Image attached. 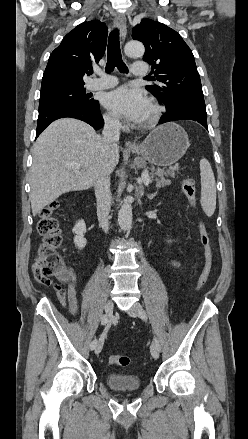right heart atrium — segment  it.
<instances>
[{"mask_svg":"<svg viewBox=\"0 0 248 439\" xmlns=\"http://www.w3.org/2000/svg\"><path fill=\"white\" fill-rule=\"evenodd\" d=\"M105 124L113 129H119L121 127V123L119 119L111 113H107L104 115Z\"/></svg>","mask_w":248,"mask_h":439,"instance_id":"obj_1","label":"right heart atrium"}]
</instances>
